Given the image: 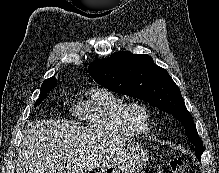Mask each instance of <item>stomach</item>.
I'll list each match as a JSON object with an SVG mask.
<instances>
[{
  "instance_id": "stomach-1",
  "label": "stomach",
  "mask_w": 219,
  "mask_h": 173,
  "mask_svg": "<svg viewBox=\"0 0 219 173\" xmlns=\"http://www.w3.org/2000/svg\"><path fill=\"white\" fill-rule=\"evenodd\" d=\"M148 157L144 146L124 143L101 162L95 173H139Z\"/></svg>"
}]
</instances>
